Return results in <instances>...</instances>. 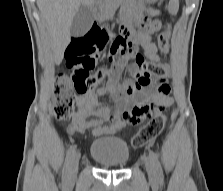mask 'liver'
Returning a JSON list of instances; mask_svg holds the SVG:
<instances>
[{
	"instance_id": "6515ba94",
	"label": "liver",
	"mask_w": 223,
	"mask_h": 191,
	"mask_svg": "<svg viewBox=\"0 0 223 191\" xmlns=\"http://www.w3.org/2000/svg\"><path fill=\"white\" fill-rule=\"evenodd\" d=\"M97 0H37L51 37L54 60L60 64L70 43V27L81 6L92 7Z\"/></svg>"
}]
</instances>
